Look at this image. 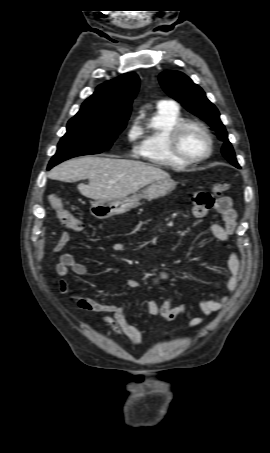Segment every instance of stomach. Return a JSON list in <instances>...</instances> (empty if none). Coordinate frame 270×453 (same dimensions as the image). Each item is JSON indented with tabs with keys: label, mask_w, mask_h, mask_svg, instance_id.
Masks as SVG:
<instances>
[{
	"label": "stomach",
	"mask_w": 270,
	"mask_h": 453,
	"mask_svg": "<svg viewBox=\"0 0 270 453\" xmlns=\"http://www.w3.org/2000/svg\"><path fill=\"white\" fill-rule=\"evenodd\" d=\"M175 186V181L166 178L152 183L140 194H133L132 196L118 199H98L92 203L90 213L97 219H106L114 215L123 214L134 208L140 199H154L164 196L171 192Z\"/></svg>",
	"instance_id": "stomach-1"
}]
</instances>
